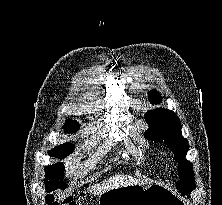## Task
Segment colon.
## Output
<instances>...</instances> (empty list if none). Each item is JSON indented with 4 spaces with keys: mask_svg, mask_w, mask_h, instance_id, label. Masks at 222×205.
I'll return each mask as SVG.
<instances>
[{
    "mask_svg": "<svg viewBox=\"0 0 222 205\" xmlns=\"http://www.w3.org/2000/svg\"><path fill=\"white\" fill-rule=\"evenodd\" d=\"M47 205H76L74 202H71L68 199L58 200L53 194H49L46 197Z\"/></svg>",
    "mask_w": 222,
    "mask_h": 205,
    "instance_id": "colon-1",
    "label": "colon"
}]
</instances>
